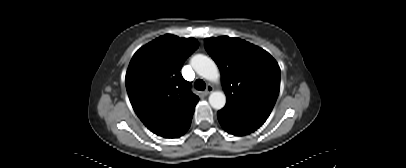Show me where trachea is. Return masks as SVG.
Instances as JSON below:
<instances>
[{"label":"trachea","mask_w":406,"mask_h":168,"mask_svg":"<svg viewBox=\"0 0 406 168\" xmlns=\"http://www.w3.org/2000/svg\"><path fill=\"white\" fill-rule=\"evenodd\" d=\"M194 86L197 90H204L206 88L205 82L201 79H197L194 83Z\"/></svg>","instance_id":"obj_1"}]
</instances>
